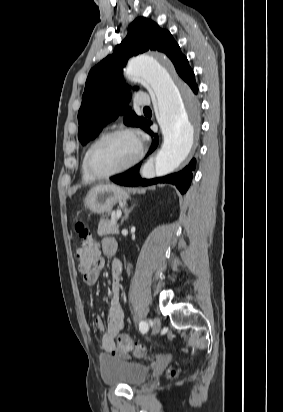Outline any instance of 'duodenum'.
Wrapping results in <instances>:
<instances>
[{
	"instance_id": "duodenum-1",
	"label": "duodenum",
	"mask_w": 283,
	"mask_h": 412,
	"mask_svg": "<svg viewBox=\"0 0 283 412\" xmlns=\"http://www.w3.org/2000/svg\"><path fill=\"white\" fill-rule=\"evenodd\" d=\"M117 247H118V245H112V246L110 247L111 253H115V252L117 251Z\"/></svg>"
}]
</instances>
